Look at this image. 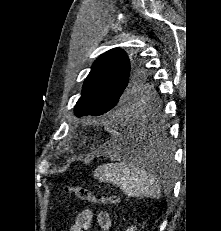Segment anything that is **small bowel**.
I'll return each mask as SVG.
<instances>
[{
  "label": "small bowel",
  "mask_w": 221,
  "mask_h": 231,
  "mask_svg": "<svg viewBox=\"0 0 221 231\" xmlns=\"http://www.w3.org/2000/svg\"><path fill=\"white\" fill-rule=\"evenodd\" d=\"M94 219L101 231H107L111 227L112 220L108 212H94L90 209H85L76 216L70 231H86L91 226Z\"/></svg>",
  "instance_id": "c3829d8e"
}]
</instances>
